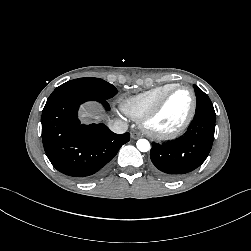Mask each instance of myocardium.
<instances>
[{
  "instance_id": "f54148a6",
  "label": "myocardium",
  "mask_w": 251,
  "mask_h": 251,
  "mask_svg": "<svg viewBox=\"0 0 251 251\" xmlns=\"http://www.w3.org/2000/svg\"><path fill=\"white\" fill-rule=\"evenodd\" d=\"M188 90L192 97V104L190 111L186 117V119L183 121V123L177 127L174 130L171 131H158L155 130L152 127L153 120L157 117V115L162 110L163 106L165 105L167 99L170 97L172 93H174L177 90ZM197 109V96L194 92V90L185 85H175L172 88H170L168 91H166L159 99L158 101L153 105V107L140 119V125L143 131L151 138L157 139V140H171L174 138L179 137L182 135L187 128L190 126L191 122L194 119V116L196 114Z\"/></svg>"
}]
</instances>
